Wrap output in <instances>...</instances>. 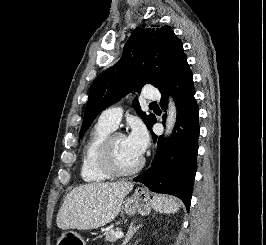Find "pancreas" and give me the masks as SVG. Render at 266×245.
<instances>
[{
    "mask_svg": "<svg viewBox=\"0 0 266 245\" xmlns=\"http://www.w3.org/2000/svg\"><path fill=\"white\" fill-rule=\"evenodd\" d=\"M116 233H122L121 229H112V231H108L105 235V241H109V243H115V241H118Z\"/></svg>",
    "mask_w": 266,
    "mask_h": 245,
    "instance_id": "1",
    "label": "pancreas"
}]
</instances>
